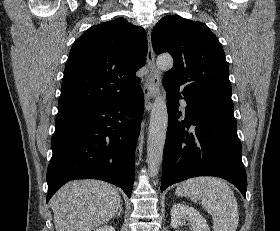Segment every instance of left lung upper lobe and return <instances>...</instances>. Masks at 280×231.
<instances>
[{
    "label": "left lung upper lobe",
    "mask_w": 280,
    "mask_h": 231,
    "mask_svg": "<svg viewBox=\"0 0 280 231\" xmlns=\"http://www.w3.org/2000/svg\"><path fill=\"white\" fill-rule=\"evenodd\" d=\"M152 45L156 54L168 52L174 58L173 68L163 78L166 90L233 109L224 50L205 24L165 16L153 28Z\"/></svg>",
    "instance_id": "1"
}]
</instances>
